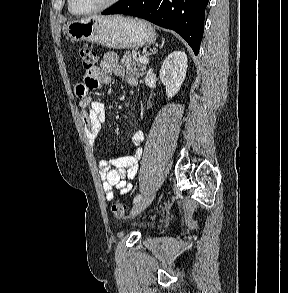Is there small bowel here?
Segmentation results:
<instances>
[{
	"label": "small bowel",
	"mask_w": 288,
	"mask_h": 293,
	"mask_svg": "<svg viewBox=\"0 0 288 293\" xmlns=\"http://www.w3.org/2000/svg\"><path fill=\"white\" fill-rule=\"evenodd\" d=\"M112 73L122 77L129 85L137 84V78L132 73L126 72L119 63L117 54L107 52L99 66L84 73L83 81L78 83L75 89L76 95L80 98L81 120L91 145L95 144L106 122V109L102 102L96 101L90 96V92L109 85ZM131 141L135 147L132 155H115L99 161V173L107 200L114 199V190L119 196H122L133 188L132 181L137 174L138 161L143 153L141 145L144 142V133L136 131L132 135Z\"/></svg>",
	"instance_id": "small-bowel-1"
}]
</instances>
